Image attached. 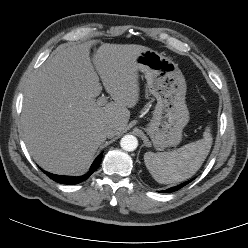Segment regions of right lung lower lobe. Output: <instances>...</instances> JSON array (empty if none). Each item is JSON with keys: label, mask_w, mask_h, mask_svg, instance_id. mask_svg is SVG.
Masks as SVG:
<instances>
[{"label": "right lung lower lobe", "mask_w": 248, "mask_h": 248, "mask_svg": "<svg viewBox=\"0 0 248 248\" xmlns=\"http://www.w3.org/2000/svg\"><path fill=\"white\" fill-rule=\"evenodd\" d=\"M101 160H102V153L95 159L92 166L90 167V170L86 174L78 177L55 175L45 171L44 173L48 175L52 180L61 184H69V185L78 184L87 180L98 169Z\"/></svg>", "instance_id": "98d812e1"}]
</instances>
